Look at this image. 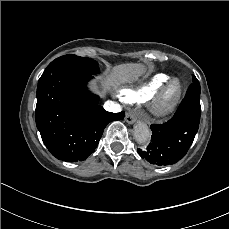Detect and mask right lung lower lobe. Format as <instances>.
<instances>
[{"label": "right lung lower lobe", "mask_w": 229, "mask_h": 229, "mask_svg": "<svg viewBox=\"0 0 229 229\" xmlns=\"http://www.w3.org/2000/svg\"><path fill=\"white\" fill-rule=\"evenodd\" d=\"M91 74L62 72L38 84L35 120L52 155L66 162L86 159L97 147L106 125L125 113H109L86 89Z\"/></svg>", "instance_id": "1"}]
</instances>
